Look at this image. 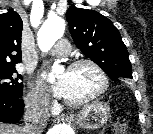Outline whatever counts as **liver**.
Segmentation results:
<instances>
[{
    "label": "liver",
    "mask_w": 153,
    "mask_h": 134,
    "mask_svg": "<svg viewBox=\"0 0 153 134\" xmlns=\"http://www.w3.org/2000/svg\"><path fill=\"white\" fill-rule=\"evenodd\" d=\"M0 134H23V131L19 126L0 123Z\"/></svg>",
    "instance_id": "6515ba94"
}]
</instances>
